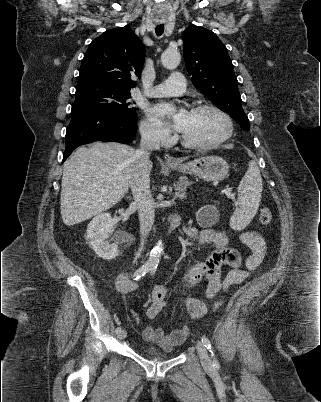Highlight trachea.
Segmentation results:
<instances>
[{
  "label": "trachea",
  "mask_w": 321,
  "mask_h": 402,
  "mask_svg": "<svg viewBox=\"0 0 321 402\" xmlns=\"http://www.w3.org/2000/svg\"><path fill=\"white\" fill-rule=\"evenodd\" d=\"M155 32L157 36H161L164 32V25L163 24L157 25L155 28Z\"/></svg>",
  "instance_id": "trachea-1"
}]
</instances>
